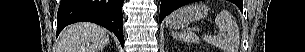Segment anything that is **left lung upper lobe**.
<instances>
[{"instance_id": "obj_1", "label": "left lung upper lobe", "mask_w": 305, "mask_h": 52, "mask_svg": "<svg viewBox=\"0 0 305 52\" xmlns=\"http://www.w3.org/2000/svg\"><path fill=\"white\" fill-rule=\"evenodd\" d=\"M232 2H233V3H235L237 6H240V5H241V3H242V2H241V1H239V0H233Z\"/></svg>"}]
</instances>
